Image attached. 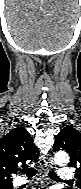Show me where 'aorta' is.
<instances>
[{"label": "aorta", "mask_w": 81, "mask_h": 189, "mask_svg": "<svg viewBox=\"0 0 81 189\" xmlns=\"http://www.w3.org/2000/svg\"><path fill=\"white\" fill-rule=\"evenodd\" d=\"M55 161L57 164L66 165L69 162V156L64 151H59L55 154Z\"/></svg>", "instance_id": "1"}]
</instances>
